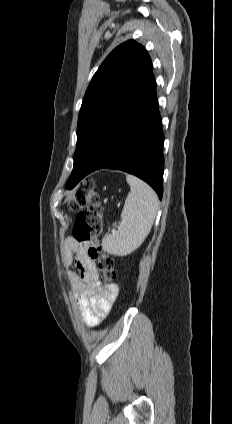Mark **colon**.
Wrapping results in <instances>:
<instances>
[{
  "label": "colon",
  "instance_id": "1",
  "mask_svg": "<svg viewBox=\"0 0 232 424\" xmlns=\"http://www.w3.org/2000/svg\"><path fill=\"white\" fill-rule=\"evenodd\" d=\"M67 205L72 211H79L73 227L75 240L88 245L89 256L97 261L99 270L107 281L116 278L114 259L108 255L100 241L102 230V207L98 202L93 179H86L68 194Z\"/></svg>",
  "mask_w": 232,
  "mask_h": 424
}]
</instances>
